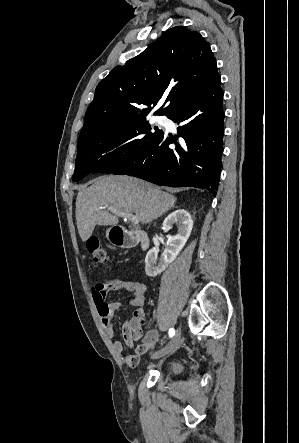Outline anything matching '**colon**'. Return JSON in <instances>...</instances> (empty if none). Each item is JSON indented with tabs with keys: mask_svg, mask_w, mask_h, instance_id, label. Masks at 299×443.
I'll return each instance as SVG.
<instances>
[{
	"mask_svg": "<svg viewBox=\"0 0 299 443\" xmlns=\"http://www.w3.org/2000/svg\"><path fill=\"white\" fill-rule=\"evenodd\" d=\"M87 250L92 257L93 261L100 264L108 262V255L100 241L96 237L88 238L86 242Z\"/></svg>",
	"mask_w": 299,
	"mask_h": 443,
	"instance_id": "5ec220e1",
	"label": "colon"
}]
</instances>
